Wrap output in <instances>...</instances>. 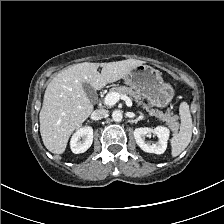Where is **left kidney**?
<instances>
[{
  "label": "left kidney",
  "mask_w": 224,
  "mask_h": 224,
  "mask_svg": "<svg viewBox=\"0 0 224 224\" xmlns=\"http://www.w3.org/2000/svg\"><path fill=\"white\" fill-rule=\"evenodd\" d=\"M154 134L158 137L157 143L150 144L145 141V137ZM170 131L167 127L158 126L154 129L140 127L134 130V138L137 145L147 153L163 154L167 148Z\"/></svg>",
  "instance_id": "obj_1"
}]
</instances>
